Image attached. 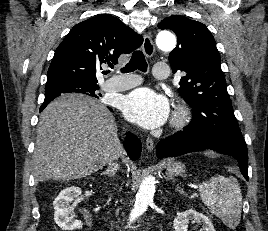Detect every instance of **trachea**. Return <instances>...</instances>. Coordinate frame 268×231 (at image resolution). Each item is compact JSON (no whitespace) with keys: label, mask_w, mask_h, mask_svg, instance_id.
Wrapping results in <instances>:
<instances>
[{"label":"trachea","mask_w":268,"mask_h":231,"mask_svg":"<svg viewBox=\"0 0 268 231\" xmlns=\"http://www.w3.org/2000/svg\"><path fill=\"white\" fill-rule=\"evenodd\" d=\"M113 68V67H111ZM140 70L142 72L147 71V62L145 60V57L141 51H135L132 54V57L129 61V63L121 69L122 73H128L135 70ZM107 73V72H106Z\"/></svg>","instance_id":"obj_1"}]
</instances>
